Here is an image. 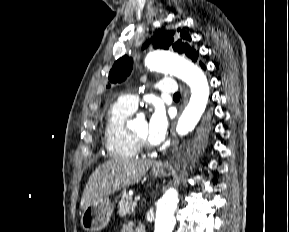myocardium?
<instances>
[{"label":"myocardium","instance_id":"f54148a6","mask_svg":"<svg viewBox=\"0 0 289 232\" xmlns=\"http://www.w3.org/2000/svg\"><path fill=\"white\" fill-rule=\"evenodd\" d=\"M129 134L132 137V139L134 140V142L137 144L139 149H150L151 148V146H150V144L148 143L147 140L138 137L137 135H135L131 131H129Z\"/></svg>","mask_w":289,"mask_h":232}]
</instances>
